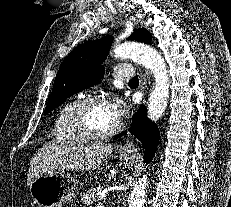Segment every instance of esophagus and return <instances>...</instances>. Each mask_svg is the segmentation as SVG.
Instances as JSON below:
<instances>
[{"label":"esophagus","instance_id":"esophagus-1","mask_svg":"<svg viewBox=\"0 0 231 207\" xmlns=\"http://www.w3.org/2000/svg\"><path fill=\"white\" fill-rule=\"evenodd\" d=\"M120 151L123 153H135L137 151L132 139H128L122 146H120Z\"/></svg>","mask_w":231,"mask_h":207}]
</instances>
